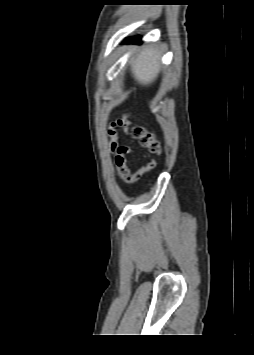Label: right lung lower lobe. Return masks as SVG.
<instances>
[{"label": "right lung lower lobe", "instance_id": "obj_1", "mask_svg": "<svg viewBox=\"0 0 254 355\" xmlns=\"http://www.w3.org/2000/svg\"><path fill=\"white\" fill-rule=\"evenodd\" d=\"M127 41L140 42V37H133V38L128 39Z\"/></svg>", "mask_w": 254, "mask_h": 355}]
</instances>
